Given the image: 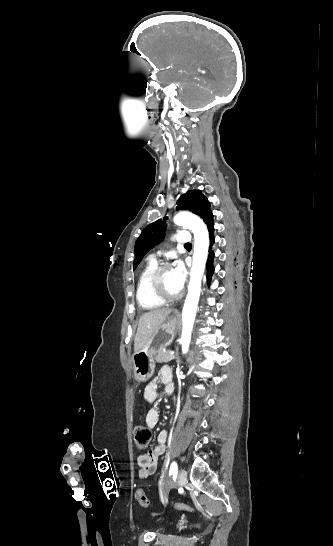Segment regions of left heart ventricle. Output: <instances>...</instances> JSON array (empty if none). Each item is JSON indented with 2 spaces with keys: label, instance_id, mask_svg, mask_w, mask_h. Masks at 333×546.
<instances>
[{
  "label": "left heart ventricle",
  "instance_id": "1",
  "mask_svg": "<svg viewBox=\"0 0 333 546\" xmlns=\"http://www.w3.org/2000/svg\"><path fill=\"white\" fill-rule=\"evenodd\" d=\"M162 285L168 295L173 296L177 295L180 292L175 286L171 270H168L164 273L162 277Z\"/></svg>",
  "mask_w": 333,
  "mask_h": 546
}]
</instances>
